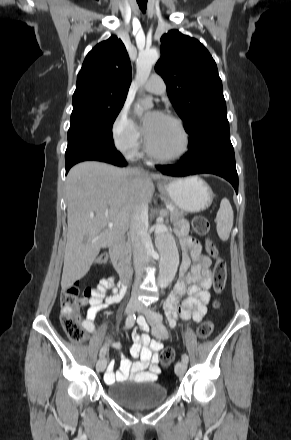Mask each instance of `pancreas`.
<instances>
[{
  "label": "pancreas",
  "instance_id": "cf45deb5",
  "mask_svg": "<svg viewBox=\"0 0 291 440\" xmlns=\"http://www.w3.org/2000/svg\"><path fill=\"white\" fill-rule=\"evenodd\" d=\"M173 208H174V211L171 212V214H170V218L172 221H176L184 216V212L181 209H179L175 206H173Z\"/></svg>",
  "mask_w": 291,
  "mask_h": 440
}]
</instances>
